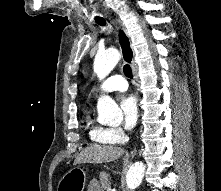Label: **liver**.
<instances>
[{
    "label": "liver",
    "mask_w": 221,
    "mask_h": 191,
    "mask_svg": "<svg viewBox=\"0 0 221 191\" xmlns=\"http://www.w3.org/2000/svg\"><path fill=\"white\" fill-rule=\"evenodd\" d=\"M125 150L114 146L86 148L76 157L74 165L81 163L101 164L120 158Z\"/></svg>",
    "instance_id": "6515ba94"
}]
</instances>
